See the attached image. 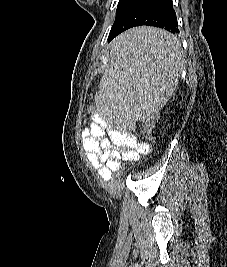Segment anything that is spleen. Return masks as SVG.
Listing matches in <instances>:
<instances>
[{
    "label": "spleen",
    "instance_id": "obj_1",
    "mask_svg": "<svg viewBox=\"0 0 227 267\" xmlns=\"http://www.w3.org/2000/svg\"><path fill=\"white\" fill-rule=\"evenodd\" d=\"M121 38L109 46L111 63H106L99 82L101 93L96 100L100 115H156L159 106L172 96L182 72L181 44L157 25H139L126 29ZM158 106H129V104ZM105 125H140L147 116H103Z\"/></svg>",
    "mask_w": 227,
    "mask_h": 267
}]
</instances>
